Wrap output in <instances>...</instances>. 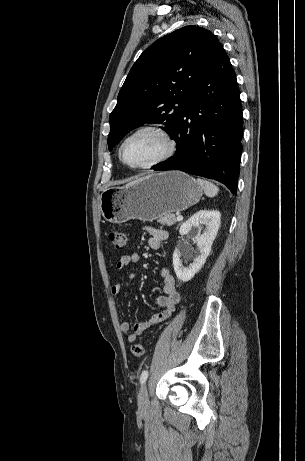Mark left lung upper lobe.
<instances>
[{"mask_svg": "<svg viewBox=\"0 0 305 461\" xmlns=\"http://www.w3.org/2000/svg\"><path fill=\"white\" fill-rule=\"evenodd\" d=\"M222 50L215 35L198 26L176 30L147 48L131 68L110 114L109 150L144 123H163L172 136L189 94Z\"/></svg>", "mask_w": 305, "mask_h": 461, "instance_id": "obj_1", "label": "left lung upper lobe"}]
</instances>
